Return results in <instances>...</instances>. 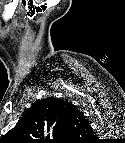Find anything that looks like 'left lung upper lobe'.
<instances>
[{
	"label": "left lung upper lobe",
	"instance_id": "1",
	"mask_svg": "<svg viewBox=\"0 0 125 143\" xmlns=\"http://www.w3.org/2000/svg\"><path fill=\"white\" fill-rule=\"evenodd\" d=\"M68 104L66 101L53 97L34 103L25 111L15 128L10 130L5 137L13 140L31 141L32 139L55 138L57 135H61L68 121Z\"/></svg>",
	"mask_w": 125,
	"mask_h": 143
}]
</instances>
